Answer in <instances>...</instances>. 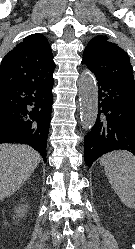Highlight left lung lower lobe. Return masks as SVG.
I'll list each match as a JSON object with an SVG mask.
<instances>
[{
	"label": "left lung lower lobe",
	"mask_w": 135,
	"mask_h": 249,
	"mask_svg": "<svg viewBox=\"0 0 135 249\" xmlns=\"http://www.w3.org/2000/svg\"><path fill=\"white\" fill-rule=\"evenodd\" d=\"M98 114L84 138L87 166L113 150H128L135 155V87L96 77Z\"/></svg>",
	"instance_id": "left-lung-lower-lobe-1"
}]
</instances>
